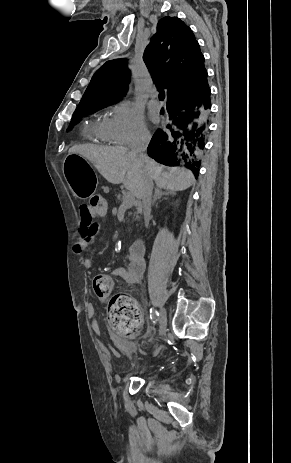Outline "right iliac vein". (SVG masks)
<instances>
[{
  "label": "right iliac vein",
  "mask_w": 291,
  "mask_h": 463,
  "mask_svg": "<svg viewBox=\"0 0 291 463\" xmlns=\"http://www.w3.org/2000/svg\"><path fill=\"white\" fill-rule=\"evenodd\" d=\"M159 323H160V334H164L165 332V329H166V325H167V315H166V312L165 310L161 307L160 308V319H159Z\"/></svg>",
  "instance_id": "obj_1"
}]
</instances>
